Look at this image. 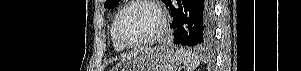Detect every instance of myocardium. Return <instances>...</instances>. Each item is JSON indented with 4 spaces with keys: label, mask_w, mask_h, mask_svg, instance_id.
<instances>
[{
    "label": "myocardium",
    "mask_w": 301,
    "mask_h": 71,
    "mask_svg": "<svg viewBox=\"0 0 301 71\" xmlns=\"http://www.w3.org/2000/svg\"><path fill=\"white\" fill-rule=\"evenodd\" d=\"M134 5H146L150 8H152L158 15L160 24L156 30V32L149 37L137 41V42H128L126 41L121 33V21L124 13L126 10ZM168 25L167 17L164 12V10L155 2V1H149V0H133L125 4L121 10L118 12L115 20V35L117 40L125 47V48H138V47H143L150 45L157 40H159L162 35L164 34L166 28Z\"/></svg>",
    "instance_id": "myocardium-1"
}]
</instances>
